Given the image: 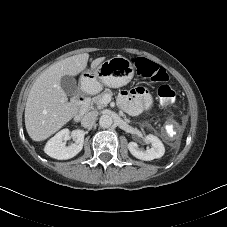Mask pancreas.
Segmentation results:
<instances>
[{
    "mask_svg": "<svg viewBox=\"0 0 227 227\" xmlns=\"http://www.w3.org/2000/svg\"><path fill=\"white\" fill-rule=\"evenodd\" d=\"M112 91L110 89H105L102 93L94 96L91 101L92 107L100 110L107 106V104L103 101L106 95H111Z\"/></svg>",
    "mask_w": 227,
    "mask_h": 227,
    "instance_id": "pancreas-1",
    "label": "pancreas"
}]
</instances>
